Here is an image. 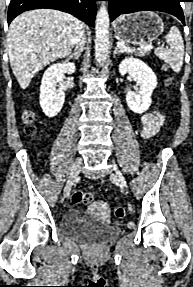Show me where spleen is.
<instances>
[{"label": "spleen", "mask_w": 193, "mask_h": 287, "mask_svg": "<svg viewBox=\"0 0 193 287\" xmlns=\"http://www.w3.org/2000/svg\"><path fill=\"white\" fill-rule=\"evenodd\" d=\"M165 40L169 47L157 48L154 50V54L167 62L174 72H179L183 65L184 43L178 28L172 26L165 36Z\"/></svg>", "instance_id": "3e777b00"}]
</instances>
